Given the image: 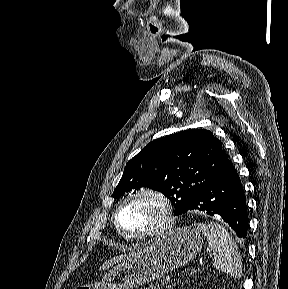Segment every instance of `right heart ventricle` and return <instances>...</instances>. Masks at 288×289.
I'll list each match as a JSON object with an SVG mask.
<instances>
[{"label":"right heart ventricle","instance_id":"e07e8e85","mask_svg":"<svg viewBox=\"0 0 288 289\" xmlns=\"http://www.w3.org/2000/svg\"><path fill=\"white\" fill-rule=\"evenodd\" d=\"M122 237H123V238H125V239H127V238H126V237H124L123 235H122Z\"/></svg>","mask_w":288,"mask_h":289}]
</instances>
